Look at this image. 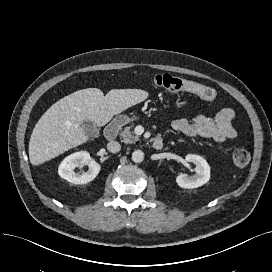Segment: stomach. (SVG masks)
Here are the masks:
<instances>
[{"label":"stomach","mask_w":272,"mask_h":272,"mask_svg":"<svg viewBox=\"0 0 272 272\" xmlns=\"http://www.w3.org/2000/svg\"><path fill=\"white\" fill-rule=\"evenodd\" d=\"M135 119H137L136 116H133L132 118H130V117L126 116V115H122V116L119 118V121H120V123L125 124V123H128V122H130V121H133V120H135Z\"/></svg>","instance_id":"stomach-1"}]
</instances>
